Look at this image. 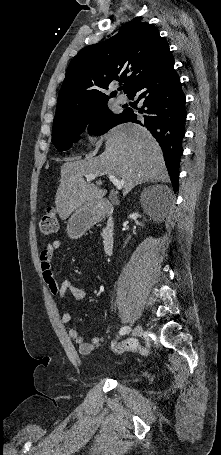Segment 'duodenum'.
Segmentation results:
<instances>
[{"label":"duodenum","instance_id":"obj_1","mask_svg":"<svg viewBox=\"0 0 221 455\" xmlns=\"http://www.w3.org/2000/svg\"><path fill=\"white\" fill-rule=\"evenodd\" d=\"M97 219L106 218V226L103 232V249L106 255H111L114 250L115 238L112 206L109 201H100L96 213Z\"/></svg>","mask_w":221,"mask_h":455}]
</instances>
